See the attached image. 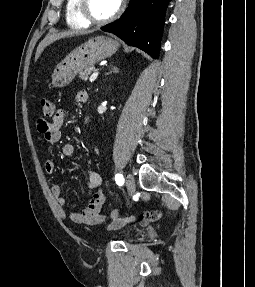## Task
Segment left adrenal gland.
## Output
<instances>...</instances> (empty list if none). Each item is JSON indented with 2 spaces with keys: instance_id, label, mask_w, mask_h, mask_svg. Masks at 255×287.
Instances as JSON below:
<instances>
[{
  "instance_id": "obj_1",
  "label": "left adrenal gland",
  "mask_w": 255,
  "mask_h": 287,
  "mask_svg": "<svg viewBox=\"0 0 255 287\" xmlns=\"http://www.w3.org/2000/svg\"><path fill=\"white\" fill-rule=\"evenodd\" d=\"M111 70L112 72H119L118 68H115V66H112ZM109 74H111V72H109Z\"/></svg>"
}]
</instances>
